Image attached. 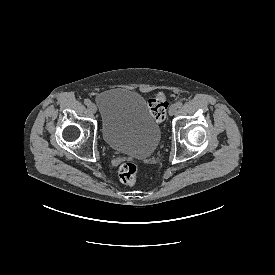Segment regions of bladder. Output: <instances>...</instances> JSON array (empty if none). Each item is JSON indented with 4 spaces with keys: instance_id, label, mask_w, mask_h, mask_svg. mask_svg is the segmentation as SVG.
Segmentation results:
<instances>
[{
    "instance_id": "bladder-1",
    "label": "bladder",
    "mask_w": 275,
    "mask_h": 275,
    "mask_svg": "<svg viewBox=\"0 0 275 275\" xmlns=\"http://www.w3.org/2000/svg\"><path fill=\"white\" fill-rule=\"evenodd\" d=\"M102 135L116 152L134 158L151 156L160 140V126L143 97L128 89H113L96 98Z\"/></svg>"
}]
</instances>
